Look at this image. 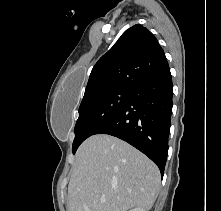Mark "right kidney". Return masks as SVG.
I'll return each mask as SVG.
<instances>
[{"instance_id": "1", "label": "right kidney", "mask_w": 221, "mask_h": 211, "mask_svg": "<svg viewBox=\"0 0 221 211\" xmlns=\"http://www.w3.org/2000/svg\"><path fill=\"white\" fill-rule=\"evenodd\" d=\"M130 211H145V210L143 208H134V209H132Z\"/></svg>"}]
</instances>
